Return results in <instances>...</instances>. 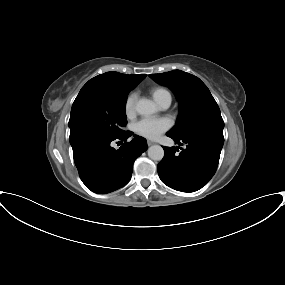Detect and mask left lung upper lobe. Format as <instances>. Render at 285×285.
Masks as SVG:
<instances>
[{"mask_svg": "<svg viewBox=\"0 0 285 285\" xmlns=\"http://www.w3.org/2000/svg\"><path fill=\"white\" fill-rule=\"evenodd\" d=\"M149 76L157 83L172 89L179 100L180 114L176 125L168 134L177 138L190 137L201 132L223 135L224 122L220 109L199 78L181 70Z\"/></svg>", "mask_w": 285, "mask_h": 285, "instance_id": "5c2ea615", "label": "left lung upper lobe"}]
</instances>
